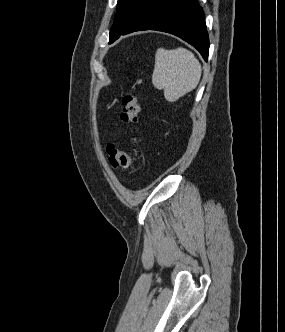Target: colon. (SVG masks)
<instances>
[{"mask_svg":"<svg viewBox=\"0 0 285 332\" xmlns=\"http://www.w3.org/2000/svg\"><path fill=\"white\" fill-rule=\"evenodd\" d=\"M121 119L128 125H134L139 120L140 100L133 91L124 94L121 100ZM137 137L132 138V143L136 145ZM138 149L135 147L132 151H126L114 145L107 146L109 162L116 169H127L133 166L137 161Z\"/></svg>","mask_w":285,"mask_h":332,"instance_id":"obj_1","label":"colon"}]
</instances>
